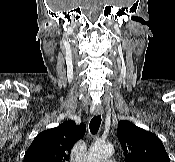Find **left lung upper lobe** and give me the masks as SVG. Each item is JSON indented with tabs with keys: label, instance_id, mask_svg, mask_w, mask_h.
I'll return each mask as SVG.
<instances>
[{
	"label": "left lung upper lobe",
	"instance_id": "1",
	"mask_svg": "<svg viewBox=\"0 0 175 162\" xmlns=\"http://www.w3.org/2000/svg\"><path fill=\"white\" fill-rule=\"evenodd\" d=\"M126 162H170L162 141L151 132L123 120L117 129Z\"/></svg>",
	"mask_w": 175,
	"mask_h": 162
}]
</instances>
